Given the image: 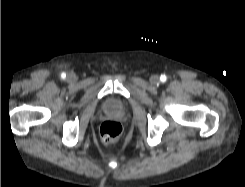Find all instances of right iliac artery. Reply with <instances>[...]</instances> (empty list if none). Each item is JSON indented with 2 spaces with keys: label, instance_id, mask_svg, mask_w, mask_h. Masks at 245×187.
<instances>
[{
  "label": "right iliac artery",
  "instance_id": "obj_1",
  "mask_svg": "<svg viewBox=\"0 0 245 187\" xmlns=\"http://www.w3.org/2000/svg\"><path fill=\"white\" fill-rule=\"evenodd\" d=\"M61 77L64 79V78H66V73H62L61 74Z\"/></svg>",
  "mask_w": 245,
  "mask_h": 187
}]
</instances>
